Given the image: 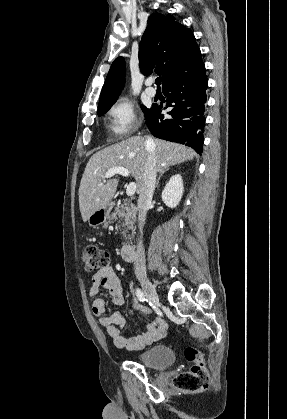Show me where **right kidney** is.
I'll list each match as a JSON object with an SVG mask.
<instances>
[{"mask_svg": "<svg viewBox=\"0 0 287 419\" xmlns=\"http://www.w3.org/2000/svg\"><path fill=\"white\" fill-rule=\"evenodd\" d=\"M183 180L180 174L172 176L162 191V200L170 208H175L183 195Z\"/></svg>", "mask_w": 287, "mask_h": 419, "instance_id": "right-kidney-1", "label": "right kidney"}]
</instances>
